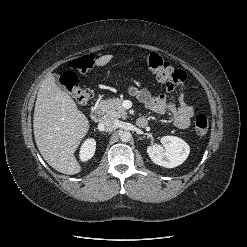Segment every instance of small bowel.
<instances>
[{"label":"small bowel","mask_w":247,"mask_h":247,"mask_svg":"<svg viewBox=\"0 0 247 247\" xmlns=\"http://www.w3.org/2000/svg\"><path fill=\"white\" fill-rule=\"evenodd\" d=\"M183 86L184 81L176 85L168 86L169 93L179 88L178 104L172 101L166 94L152 95L147 89L129 87L128 91L149 111L158 114L170 111L173 114L175 126L181 130H186L191 125V118L194 115V107L186 102L185 96L181 91Z\"/></svg>","instance_id":"c3829d8e"}]
</instances>
